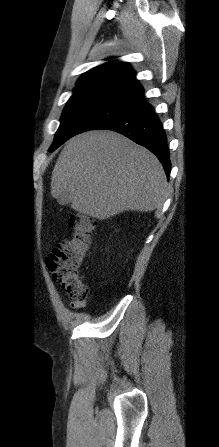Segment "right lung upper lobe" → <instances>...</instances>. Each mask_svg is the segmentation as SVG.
I'll use <instances>...</instances> for the list:
<instances>
[{
    "instance_id": "1",
    "label": "right lung upper lobe",
    "mask_w": 219,
    "mask_h": 447,
    "mask_svg": "<svg viewBox=\"0 0 219 447\" xmlns=\"http://www.w3.org/2000/svg\"><path fill=\"white\" fill-rule=\"evenodd\" d=\"M78 87L111 88L144 101V89L135 78L127 62L112 61L86 72L77 82Z\"/></svg>"
}]
</instances>
